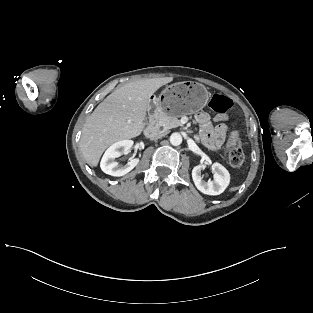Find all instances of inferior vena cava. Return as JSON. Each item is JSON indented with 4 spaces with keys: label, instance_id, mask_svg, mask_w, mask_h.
<instances>
[{
    "label": "inferior vena cava",
    "instance_id": "inferior-vena-cava-1",
    "mask_svg": "<svg viewBox=\"0 0 313 313\" xmlns=\"http://www.w3.org/2000/svg\"><path fill=\"white\" fill-rule=\"evenodd\" d=\"M167 134V132L165 130H157V129H153V130H150L148 132V137L151 139V140H157L159 138H162L163 136H165Z\"/></svg>",
    "mask_w": 313,
    "mask_h": 313
}]
</instances>
